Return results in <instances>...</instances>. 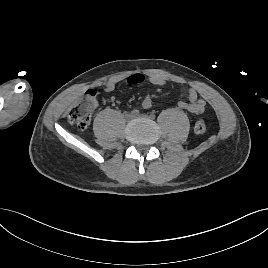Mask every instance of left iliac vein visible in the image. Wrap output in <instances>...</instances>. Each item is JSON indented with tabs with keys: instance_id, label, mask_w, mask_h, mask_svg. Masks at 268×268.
Segmentation results:
<instances>
[{
	"instance_id": "left-iliac-vein-1",
	"label": "left iliac vein",
	"mask_w": 268,
	"mask_h": 268,
	"mask_svg": "<svg viewBox=\"0 0 268 268\" xmlns=\"http://www.w3.org/2000/svg\"><path fill=\"white\" fill-rule=\"evenodd\" d=\"M136 117H139V118H150L148 115L146 114H138L136 115Z\"/></svg>"
}]
</instances>
